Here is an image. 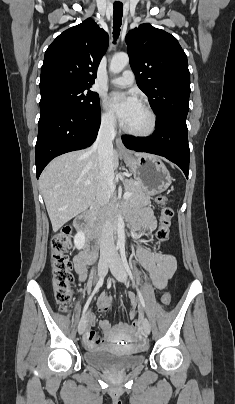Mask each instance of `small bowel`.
Instances as JSON below:
<instances>
[{
  "label": "small bowel",
  "instance_id": "c3829d8e",
  "mask_svg": "<svg viewBox=\"0 0 235 404\" xmlns=\"http://www.w3.org/2000/svg\"><path fill=\"white\" fill-rule=\"evenodd\" d=\"M156 221L152 210L148 207L143 208L139 215L133 219V226L140 231V240L137 248V256L143 266L147 269L148 279L157 290L166 287L168 280L174 274L177 267V260L173 254L154 251L148 246L150 236L155 228ZM91 256L87 251H81L74 257V268L81 281L87 277V265L92 263ZM132 309L129 312V318L132 320L136 316V300L130 298ZM112 299L102 293L97 301V307L102 312L111 309ZM95 316L88 313L86 326L84 329L83 344L87 349H95L104 345L105 341L117 342L122 339H130L132 330L129 324L120 322L115 326L107 320H101L99 326L103 331L105 338H100L93 330Z\"/></svg>",
  "mask_w": 235,
  "mask_h": 404
}]
</instances>
